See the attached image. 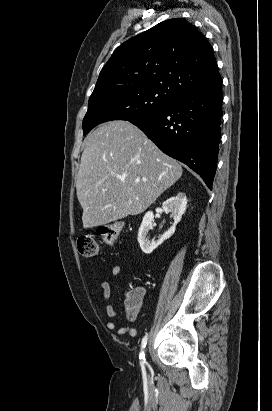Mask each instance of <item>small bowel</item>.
I'll return each instance as SVG.
<instances>
[{"label": "small bowel", "mask_w": 272, "mask_h": 411, "mask_svg": "<svg viewBox=\"0 0 272 411\" xmlns=\"http://www.w3.org/2000/svg\"><path fill=\"white\" fill-rule=\"evenodd\" d=\"M122 273V268L120 266H115L112 269V275L114 277L119 276ZM101 290L103 294L104 301L106 302V313L108 317L110 318H115L117 317L118 313L114 309L113 305L110 303L111 299V287L110 283L108 281H103L101 282ZM107 328L109 330H115L118 335H129L130 337H137L138 331L129 326H124V327H119L115 321H109L107 322Z\"/></svg>", "instance_id": "c3829d8e"}]
</instances>
